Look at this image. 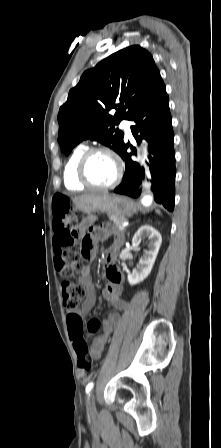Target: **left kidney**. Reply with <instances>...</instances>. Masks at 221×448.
<instances>
[{"instance_id": "1", "label": "left kidney", "mask_w": 221, "mask_h": 448, "mask_svg": "<svg viewBox=\"0 0 221 448\" xmlns=\"http://www.w3.org/2000/svg\"><path fill=\"white\" fill-rule=\"evenodd\" d=\"M146 236L150 240L149 249L145 251L132 273H128L127 278L130 285L142 282L150 274L162 243L161 234L155 228L150 225H143L134 234L132 246L137 247L141 238Z\"/></svg>"}]
</instances>
